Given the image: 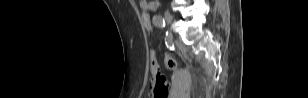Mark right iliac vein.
<instances>
[{
    "mask_svg": "<svg viewBox=\"0 0 308 98\" xmlns=\"http://www.w3.org/2000/svg\"><path fill=\"white\" fill-rule=\"evenodd\" d=\"M164 17H165V20L168 24L172 23L173 17H172V15L169 11L164 12Z\"/></svg>",
    "mask_w": 308,
    "mask_h": 98,
    "instance_id": "1",
    "label": "right iliac vein"
}]
</instances>
